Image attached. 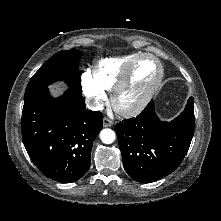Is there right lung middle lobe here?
Instances as JSON below:
<instances>
[{"mask_svg": "<svg viewBox=\"0 0 221 221\" xmlns=\"http://www.w3.org/2000/svg\"><path fill=\"white\" fill-rule=\"evenodd\" d=\"M81 55L82 52L75 49L54 54L31 78L26 88L25 98L47 88L48 85L58 80L65 81L69 89L82 93L78 70Z\"/></svg>", "mask_w": 221, "mask_h": 221, "instance_id": "right-lung-middle-lobe-1", "label": "right lung middle lobe"}]
</instances>
